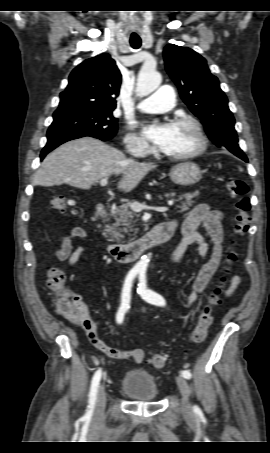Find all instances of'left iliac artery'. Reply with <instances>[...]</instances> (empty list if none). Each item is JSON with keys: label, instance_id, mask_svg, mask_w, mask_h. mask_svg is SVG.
I'll list each match as a JSON object with an SVG mask.
<instances>
[{"label": "left iliac artery", "instance_id": "obj_1", "mask_svg": "<svg viewBox=\"0 0 270 453\" xmlns=\"http://www.w3.org/2000/svg\"><path fill=\"white\" fill-rule=\"evenodd\" d=\"M137 291L140 294V296L142 297V299H144L145 301H147L151 304H154V305H158V306L165 305V300L160 294L147 289L146 276L144 273H140ZM181 374L186 379H190L192 376L191 372L189 370H183L181 372ZM194 410L197 411V410H199V408L197 406H195Z\"/></svg>", "mask_w": 270, "mask_h": 453}]
</instances>
